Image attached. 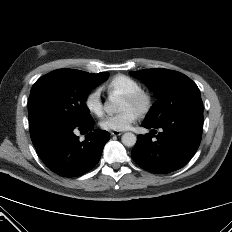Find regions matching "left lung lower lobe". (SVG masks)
Returning <instances> with one entry per match:
<instances>
[{
    "mask_svg": "<svg viewBox=\"0 0 232 232\" xmlns=\"http://www.w3.org/2000/svg\"><path fill=\"white\" fill-rule=\"evenodd\" d=\"M145 128H161L139 135L131 155L143 169L164 174L182 168L197 151L203 128V108L177 112L159 123L143 121Z\"/></svg>",
    "mask_w": 232,
    "mask_h": 232,
    "instance_id": "1",
    "label": "left lung lower lobe"
}]
</instances>
